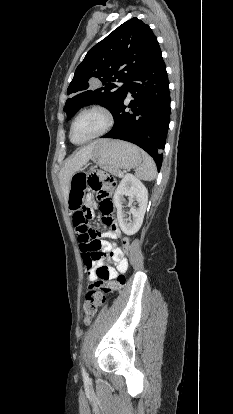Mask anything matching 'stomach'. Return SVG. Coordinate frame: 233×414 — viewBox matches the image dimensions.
<instances>
[{
    "label": "stomach",
    "instance_id": "1",
    "mask_svg": "<svg viewBox=\"0 0 233 414\" xmlns=\"http://www.w3.org/2000/svg\"><path fill=\"white\" fill-rule=\"evenodd\" d=\"M91 160L107 171L129 170L142 165L141 150L130 143L118 140H98ZM87 171L81 169L70 181L67 206L76 209L85 194Z\"/></svg>",
    "mask_w": 233,
    "mask_h": 414
}]
</instances>
